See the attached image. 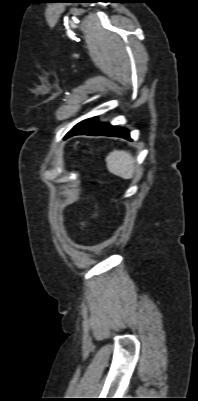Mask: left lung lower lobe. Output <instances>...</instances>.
<instances>
[{"label": "left lung lower lobe", "mask_w": 198, "mask_h": 401, "mask_svg": "<svg viewBox=\"0 0 198 401\" xmlns=\"http://www.w3.org/2000/svg\"><path fill=\"white\" fill-rule=\"evenodd\" d=\"M82 134L94 135V136L97 135L116 136L130 139L129 131L127 129L111 126L108 123L99 124L96 117L86 119L75 125L73 129L67 133L65 139L74 135H82Z\"/></svg>", "instance_id": "0a47b994"}]
</instances>
